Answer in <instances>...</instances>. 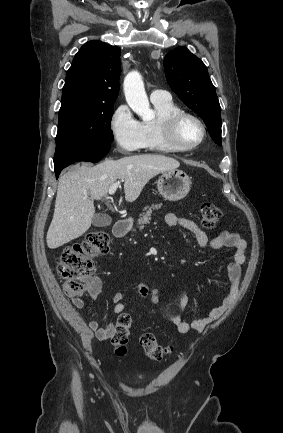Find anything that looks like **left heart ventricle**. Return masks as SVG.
<instances>
[{
  "label": "left heart ventricle",
  "instance_id": "b2bd125f",
  "mask_svg": "<svg viewBox=\"0 0 283 433\" xmlns=\"http://www.w3.org/2000/svg\"><path fill=\"white\" fill-rule=\"evenodd\" d=\"M201 137V129L192 119H185L179 126L177 138L183 145H190Z\"/></svg>",
  "mask_w": 283,
  "mask_h": 433
}]
</instances>
